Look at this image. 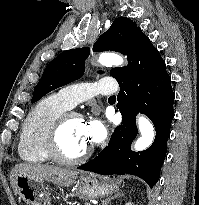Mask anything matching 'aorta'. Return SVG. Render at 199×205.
Returning a JSON list of instances; mask_svg holds the SVG:
<instances>
[{
    "label": "aorta",
    "mask_w": 199,
    "mask_h": 205,
    "mask_svg": "<svg viewBox=\"0 0 199 205\" xmlns=\"http://www.w3.org/2000/svg\"><path fill=\"white\" fill-rule=\"evenodd\" d=\"M98 62L106 67L120 66L123 64V58L115 53L105 52L100 54ZM138 129L141 136L135 142L134 150L143 151L147 149L154 141V127L147 118L139 116Z\"/></svg>",
    "instance_id": "762f6f07"
}]
</instances>
